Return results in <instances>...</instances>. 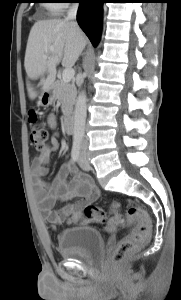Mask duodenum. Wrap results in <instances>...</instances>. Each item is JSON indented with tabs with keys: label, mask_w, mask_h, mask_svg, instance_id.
Masks as SVG:
<instances>
[{
	"label": "duodenum",
	"mask_w": 181,
	"mask_h": 300,
	"mask_svg": "<svg viewBox=\"0 0 181 300\" xmlns=\"http://www.w3.org/2000/svg\"><path fill=\"white\" fill-rule=\"evenodd\" d=\"M46 94L50 95L51 91L47 90ZM64 128L68 134H72L74 132V119L71 115H66L64 119Z\"/></svg>",
	"instance_id": "410a0bca"
}]
</instances>
